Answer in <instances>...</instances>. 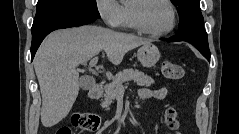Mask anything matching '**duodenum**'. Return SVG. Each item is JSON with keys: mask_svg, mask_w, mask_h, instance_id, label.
I'll return each mask as SVG.
<instances>
[{"mask_svg": "<svg viewBox=\"0 0 239 134\" xmlns=\"http://www.w3.org/2000/svg\"><path fill=\"white\" fill-rule=\"evenodd\" d=\"M103 85L101 81L96 82L89 90V97L91 99H97L102 94Z\"/></svg>", "mask_w": 239, "mask_h": 134, "instance_id": "1", "label": "duodenum"}]
</instances>
